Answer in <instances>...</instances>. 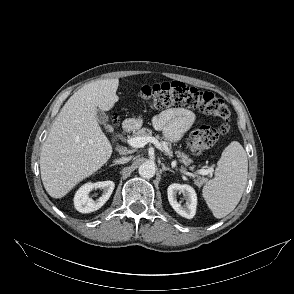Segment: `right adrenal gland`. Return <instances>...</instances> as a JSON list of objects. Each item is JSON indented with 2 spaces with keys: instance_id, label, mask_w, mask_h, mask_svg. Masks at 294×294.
I'll return each instance as SVG.
<instances>
[{
  "instance_id": "1",
  "label": "right adrenal gland",
  "mask_w": 294,
  "mask_h": 294,
  "mask_svg": "<svg viewBox=\"0 0 294 294\" xmlns=\"http://www.w3.org/2000/svg\"><path fill=\"white\" fill-rule=\"evenodd\" d=\"M114 165H116V163L112 164L111 166H114Z\"/></svg>"
}]
</instances>
